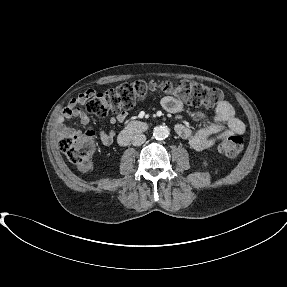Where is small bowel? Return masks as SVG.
I'll return each instance as SVG.
<instances>
[{
	"instance_id": "small-bowel-1",
	"label": "small bowel",
	"mask_w": 287,
	"mask_h": 287,
	"mask_svg": "<svg viewBox=\"0 0 287 287\" xmlns=\"http://www.w3.org/2000/svg\"><path fill=\"white\" fill-rule=\"evenodd\" d=\"M93 94L92 91L81 93L70 100L68 105L62 110V113L56 119L57 133L63 137L74 130L66 127V120L75 119L82 124H88L90 119L88 115L79 107ZM162 107L170 113H178L182 110L183 104L180 100L172 96H166L161 101ZM127 112L122 111L109 118L111 125L123 124L127 119ZM197 117L206 120L203 113L198 112ZM245 130L244 123L235 116V111L228 101H221L215 108L213 118L207 120L206 124L198 131L192 132L190 127L184 123L175 125L176 134L188 140L190 146L197 151L204 150L215 145L223 136L232 134H241ZM100 141L104 145H111L116 137L115 131H105L100 129L98 132Z\"/></svg>"
}]
</instances>
